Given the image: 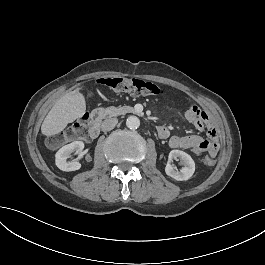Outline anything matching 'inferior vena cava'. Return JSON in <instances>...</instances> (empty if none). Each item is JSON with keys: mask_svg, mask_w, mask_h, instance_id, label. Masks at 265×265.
I'll return each mask as SVG.
<instances>
[{"mask_svg": "<svg viewBox=\"0 0 265 265\" xmlns=\"http://www.w3.org/2000/svg\"><path fill=\"white\" fill-rule=\"evenodd\" d=\"M118 123V119L117 118H107L105 119L102 124H101V130L102 131H110L112 129L115 128V126Z\"/></svg>", "mask_w": 265, "mask_h": 265, "instance_id": "602c4592", "label": "inferior vena cava"}]
</instances>
